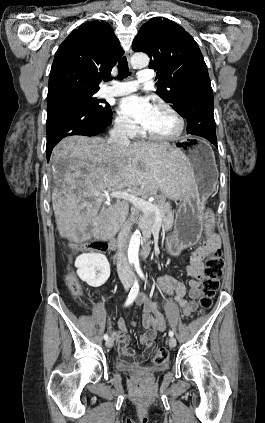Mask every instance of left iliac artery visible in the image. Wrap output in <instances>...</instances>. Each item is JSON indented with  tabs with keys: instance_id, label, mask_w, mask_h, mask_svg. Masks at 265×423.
I'll list each match as a JSON object with an SVG mask.
<instances>
[{
	"instance_id": "44dca946",
	"label": "left iliac artery",
	"mask_w": 265,
	"mask_h": 423,
	"mask_svg": "<svg viewBox=\"0 0 265 423\" xmlns=\"http://www.w3.org/2000/svg\"><path fill=\"white\" fill-rule=\"evenodd\" d=\"M135 268H136V271H137V273L139 274V276H140L143 280H145V282H147V280H146V279H145V277H144L143 272L141 271V268H140L139 262H136V263H135ZM173 335H174L173 331H169V336H170V337H173Z\"/></svg>"
}]
</instances>
